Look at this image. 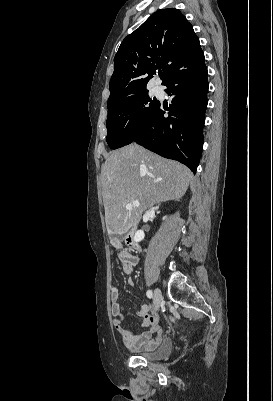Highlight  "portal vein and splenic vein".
<instances>
[{
	"instance_id": "portal-vein-and-splenic-vein-1",
	"label": "portal vein and splenic vein",
	"mask_w": 273,
	"mask_h": 401,
	"mask_svg": "<svg viewBox=\"0 0 273 401\" xmlns=\"http://www.w3.org/2000/svg\"><path fill=\"white\" fill-rule=\"evenodd\" d=\"M132 207H140L139 201H133V203H129V205H126V209H132Z\"/></svg>"
}]
</instances>
